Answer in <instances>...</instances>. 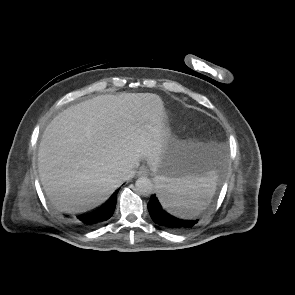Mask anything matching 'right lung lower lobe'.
Segmentation results:
<instances>
[{
	"instance_id": "1",
	"label": "right lung lower lobe",
	"mask_w": 295,
	"mask_h": 295,
	"mask_svg": "<svg viewBox=\"0 0 295 295\" xmlns=\"http://www.w3.org/2000/svg\"><path fill=\"white\" fill-rule=\"evenodd\" d=\"M117 193L118 191H116L102 206L96 210L79 215L77 218L86 227L101 225L112 216L117 202Z\"/></svg>"
}]
</instances>
